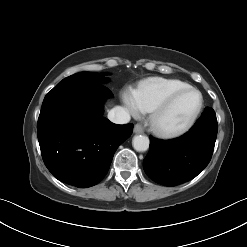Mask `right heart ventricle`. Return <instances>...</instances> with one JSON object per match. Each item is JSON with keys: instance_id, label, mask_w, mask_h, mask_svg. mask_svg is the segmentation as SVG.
<instances>
[{"instance_id": "right-heart-ventricle-1", "label": "right heart ventricle", "mask_w": 247, "mask_h": 247, "mask_svg": "<svg viewBox=\"0 0 247 247\" xmlns=\"http://www.w3.org/2000/svg\"><path fill=\"white\" fill-rule=\"evenodd\" d=\"M188 87L187 83L177 79L154 77L142 81L134 93L141 111L151 112L172 93Z\"/></svg>"}]
</instances>
